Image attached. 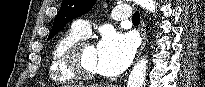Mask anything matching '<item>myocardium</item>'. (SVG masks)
Returning a JSON list of instances; mask_svg holds the SVG:
<instances>
[{
    "mask_svg": "<svg viewBox=\"0 0 205 87\" xmlns=\"http://www.w3.org/2000/svg\"><path fill=\"white\" fill-rule=\"evenodd\" d=\"M92 46L88 40H79L73 44L66 52L64 62L68 70L79 80L90 81L95 79L98 74L87 72L81 64V54L85 47Z\"/></svg>",
    "mask_w": 205,
    "mask_h": 87,
    "instance_id": "f54148a6",
    "label": "myocardium"
}]
</instances>
